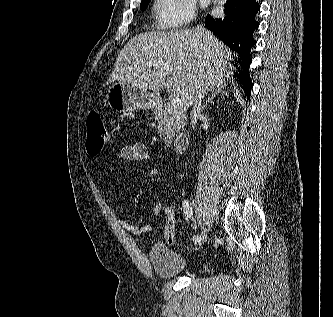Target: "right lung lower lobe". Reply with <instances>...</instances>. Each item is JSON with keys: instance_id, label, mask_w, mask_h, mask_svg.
Masks as SVG:
<instances>
[{"instance_id": "1", "label": "right lung lower lobe", "mask_w": 333, "mask_h": 317, "mask_svg": "<svg viewBox=\"0 0 333 317\" xmlns=\"http://www.w3.org/2000/svg\"><path fill=\"white\" fill-rule=\"evenodd\" d=\"M224 7V18L206 16V28L239 55L235 64L238 71L234 77L249 98L252 88L248 71L252 61L249 52L256 44L252 35L259 27L255 15L260 10V5L256 0H227Z\"/></svg>"}]
</instances>
